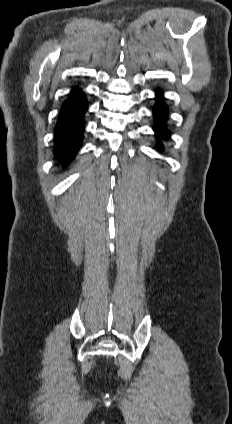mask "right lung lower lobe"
<instances>
[{
	"label": "right lung lower lobe",
	"instance_id": "98d812e1",
	"mask_svg": "<svg viewBox=\"0 0 232 424\" xmlns=\"http://www.w3.org/2000/svg\"><path fill=\"white\" fill-rule=\"evenodd\" d=\"M87 101L83 92L73 89L70 98L62 105L60 116L55 128L56 157L68 164L78 152L84 131V113Z\"/></svg>",
	"mask_w": 232,
	"mask_h": 424
}]
</instances>
